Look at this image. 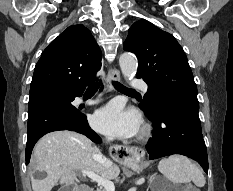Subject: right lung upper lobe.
I'll return each mask as SVG.
<instances>
[{"mask_svg":"<svg viewBox=\"0 0 233 191\" xmlns=\"http://www.w3.org/2000/svg\"><path fill=\"white\" fill-rule=\"evenodd\" d=\"M101 50L83 25L68 27L41 54L30 86V95L57 91L83 93L101 68Z\"/></svg>","mask_w":233,"mask_h":191,"instance_id":"1","label":"right lung upper lobe"}]
</instances>
